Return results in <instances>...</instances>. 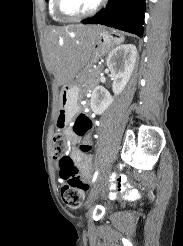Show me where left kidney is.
Listing matches in <instances>:
<instances>
[{
  "label": "left kidney",
  "mask_w": 183,
  "mask_h": 246,
  "mask_svg": "<svg viewBox=\"0 0 183 246\" xmlns=\"http://www.w3.org/2000/svg\"><path fill=\"white\" fill-rule=\"evenodd\" d=\"M137 49L133 44H123L113 49L106 60L112 78L113 93L119 95L127 85L133 72ZM114 101V97L103 86H96L91 95V109L102 114Z\"/></svg>",
  "instance_id": "1"
}]
</instances>
